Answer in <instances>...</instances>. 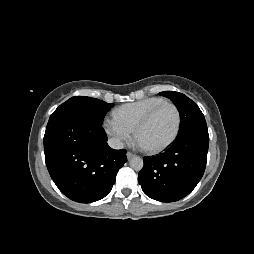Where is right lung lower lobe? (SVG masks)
I'll return each instance as SVG.
<instances>
[{
  "label": "right lung lower lobe",
  "instance_id": "1",
  "mask_svg": "<svg viewBox=\"0 0 254 254\" xmlns=\"http://www.w3.org/2000/svg\"><path fill=\"white\" fill-rule=\"evenodd\" d=\"M102 125L73 115L49 119L44 135L47 169L59 190L79 203L104 198L118 170L127 161L126 150L107 144Z\"/></svg>",
  "mask_w": 254,
  "mask_h": 254
}]
</instances>
